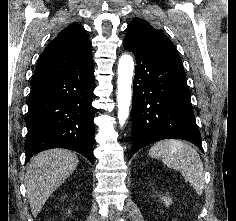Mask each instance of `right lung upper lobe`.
I'll return each mask as SVG.
<instances>
[{"mask_svg":"<svg viewBox=\"0 0 236 221\" xmlns=\"http://www.w3.org/2000/svg\"><path fill=\"white\" fill-rule=\"evenodd\" d=\"M93 65L91 42L85 29L72 23L44 49L32 80Z\"/></svg>","mask_w":236,"mask_h":221,"instance_id":"obj_1","label":"right lung upper lobe"}]
</instances>
